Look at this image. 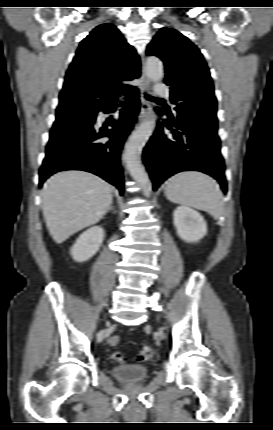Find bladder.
I'll use <instances>...</instances> for the list:
<instances>
[{
	"label": "bladder",
	"instance_id": "31cf9c89",
	"mask_svg": "<svg viewBox=\"0 0 273 430\" xmlns=\"http://www.w3.org/2000/svg\"><path fill=\"white\" fill-rule=\"evenodd\" d=\"M115 378L123 383H138L148 376V368L139 364H121L112 369Z\"/></svg>",
	"mask_w": 273,
	"mask_h": 430
}]
</instances>
